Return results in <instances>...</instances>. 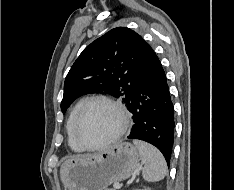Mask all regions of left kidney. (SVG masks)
I'll return each instance as SVG.
<instances>
[{
  "mask_svg": "<svg viewBox=\"0 0 234 190\" xmlns=\"http://www.w3.org/2000/svg\"><path fill=\"white\" fill-rule=\"evenodd\" d=\"M137 190H139V189H137ZM142 190H151V189H142Z\"/></svg>",
  "mask_w": 234,
  "mask_h": 190,
  "instance_id": "5707ae66",
  "label": "left kidney"
}]
</instances>
